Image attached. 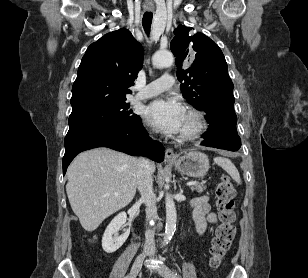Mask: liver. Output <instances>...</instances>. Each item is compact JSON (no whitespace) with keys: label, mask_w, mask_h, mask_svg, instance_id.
Wrapping results in <instances>:
<instances>
[{"label":"liver","mask_w":308,"mask_h":278,"mask_svg":"<svg viewBox=\"0 0 308 278\" xmlns=\"http://www.w3.org/2000/svg\"><path fill=\"white\" fill-rule=\"evenodd\" d=\"M138 160L109 148L80 153L67 170V196L86 231L127 206L137 188ZM155 164H151L152 173Z\"/></svg>","instance_id":"liver-1"}]
</instances>
